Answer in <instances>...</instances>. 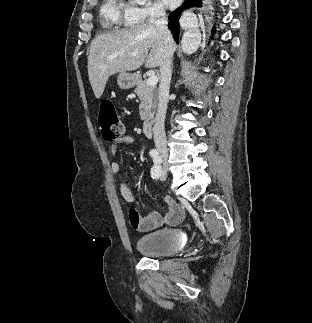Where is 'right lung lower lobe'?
<instances>
[{
    "instance_id": "right-lung-lower-lobe-1",
    "label": "right lung lower lobe",
    "mask_w": 312,
    "mask_h": 323,
    "mask_svg": "<svg viewBox=\"0 0 312 323\" xmlns=\"http://www.w3.org/2000/svg\"><path fill=\"white\" fill-rule=\"evenodd\" d=\"M202 0H186L184 3V7L190 8V7H201ZM179 17L180 12L174 11L169 15V23L168 27L171 30L172 34L174 35V39L178 42L179 40V32H180V26H179ZM215 26L212 29V36L210 37L213 39V35L215 33Z\"/></svg>"
}]
</instances>
